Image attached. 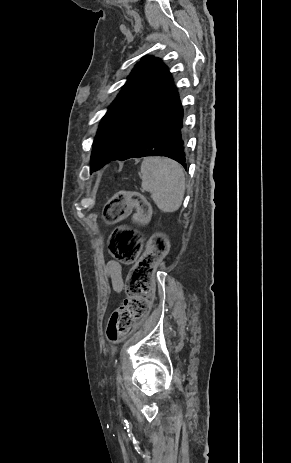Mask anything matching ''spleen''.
I'll return each mask as SVG.
<instances>
[{"instance_id": "1", "label": "spleen", "mask_w": 291, "mask_h": 463, "mask_svg": "<svg viewBox=\"0 0 291 463\" xmlns=\"http://www.w3.org/2000/svg\"><path fill=\"white\" fill-rule=\"evenodd\" d=\"M142 189L151 194L156 206L165 213L175 212L185 193L182 167L168 158L149 157L141 164Z\"/></svg>"}]
</instances>
